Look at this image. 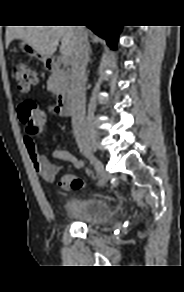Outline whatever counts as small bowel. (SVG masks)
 Returning <instances> with one entry per match:
<instances>
[{"instance_id": "small-bowel-1", "label": "small bowel", "mask_w": 184, "mask_h": 292, "mask_svg": "<svg viewBox=\"0 0 184 292\" xmlns=\"http://www.w3.org/2000/svg\"><path fill=\"white\" fill-rule=\"evenodd\" d=\"M24 143L35 172L45 181L53 182L61 170V166L52 163L49 159L39 154L35 140L29 134L24 136ZM51 157L53 159L70 162L76 169H81L83 167L82 160L67 150L56 149L51 153ZM67 177L68 176H64L59 182L60 187L64 190L69 188L67 184Z\"/></svg>"}]
</instances>
